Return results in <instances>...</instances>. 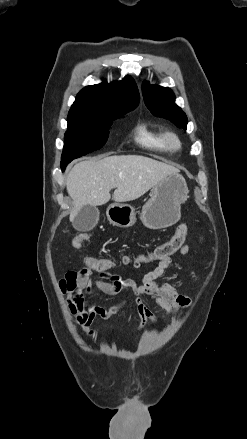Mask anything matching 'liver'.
I'll use <instances>...</instances> for the list:
<instances>
[{
	"instance_id": "liver-1",
	"label": "liver",
	"mask_w": 247,
	"mask_h": 439,
	"mask_svg": "<svg viewBox=\"0 0 247 439\" xmlns=\"http://www.w3.org/2000/svg\"><path fill=\"white\" fill-rule=\"evenodd\" d=\"M179 169L141 155L109 156L77 163L66 180L67 191L73 200L70 221L84 205L107 203L110 190L116 188V202L135 200L157 183Z\"/></svg>"
}]
</instances>
